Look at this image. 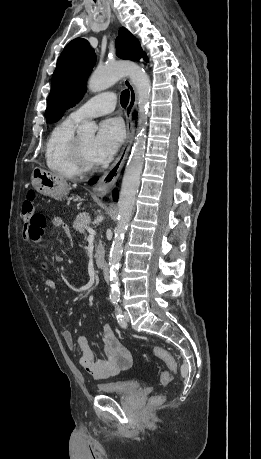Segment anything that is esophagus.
<instances>
[{"instance_id":"34e87169","label":"esophagus","mask_w":261,"mask_h":459,"mask_svg":"<svg viewBox=\"0 0 261 459\" xmlns=\"http://www.w3.org/2000/svg\"><path fill=\"white\" fill-rule=\"evenodd\" d=\"M124 84L129 90V103L126 109V140L118 157L93 187V193L100 197L106 196L114 187L120 176L134 139V122L132 114L137 104V92L129 78L124 80Z\"/></svg>"}]
</instances>
